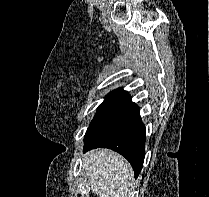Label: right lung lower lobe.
Masks as SVG:
<instances>
[{"label":"right lung lower lobe","mask_w":209,"mask_h":197,"mask_svg":"<svg viewBox=\"0 0 209 197\" xmlns=\"http://www.w3.org/2000/svg\"><path fill=\"white\" fill-rule=\"evenodd\" d=\"M145 141L139 108L130 101L89 126L84 152L98 147L112 149L130 162L137 177L143 167Z\"/></svg>","instance_id":"right-lung-lower-lobe-1"}]
</instances>
